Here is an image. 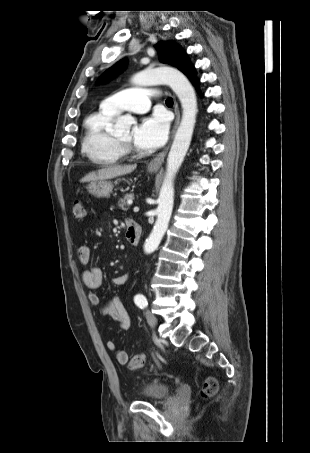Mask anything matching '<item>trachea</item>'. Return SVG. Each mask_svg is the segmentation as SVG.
<instances>
[{
  "instance_id": "obj_1",
  "label": "trachea",
  "mask_w": 310,
  "mask_h": 453,
  "mask_svg": "<svg viewBox=\"0 0 310 453\" xmlns=\"http://www.w3.org/2000/svg\"><path fill=\"white\" fill-rule=\"evenodd\" d=\"M166 105H173V99L172 98H168L166 100Z\"/></svg>"
}]
</instances>
